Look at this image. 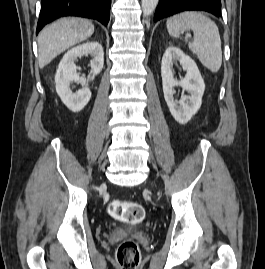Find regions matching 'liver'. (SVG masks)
Instances as JSON below:
<instances>
[{"mask_svg": "<svg viewBox=\"0 0 265 269\" xmlns=\"http://www.w3.org/2000/svg\"><path fill=\"white\" fill-rule=\"evenodd\" d=\"M94 33L92 22L82 18H63L46 26L38 35L40 68L48 65L68 48L88 39Z\"/></svg>", "mask_w": 265, "mask_h": 269, "instance_id": "liver-1", "label": "liver"}]
</instances>
